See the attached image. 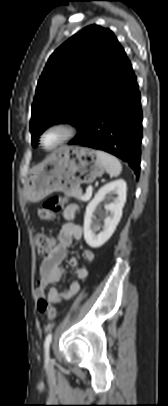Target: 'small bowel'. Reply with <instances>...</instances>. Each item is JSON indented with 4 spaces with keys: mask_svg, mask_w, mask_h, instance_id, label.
<instances>
[{
    "mask_svg": "<svg viewBox=\"0 0 168 406\" xmlns=\"http://www.w3.org/2000/svg\"><path fill=\"white\" fill-rule=\"evenodd\" d=\"M79 212V207L75 204L64 209L63 222L58 232V245L48 257L43 259L40 265V278L35 285L36 296L43 295L49 284L56 283L61 279L64 273L62 262L68 255V249L74 241H78L82 237L81 226L73 221ZM83 257L87 262H92L95 259V254L92 250L87 249L84 251ZM78 263L79 258L77 256L69 259V265L72 267H77ZM75 275L77 279H86L89 275L88 268L86 266L77 267ZM79 290L80 284L78 280H74L64 290L51 287L47 292V296L51 302L60 303L72 299Z\"/></svg>",
    "mask_w": 168,
    "mask_h": 406,
    "instance_id": "1",
    "label": "small bowel"
}]
</instances>
